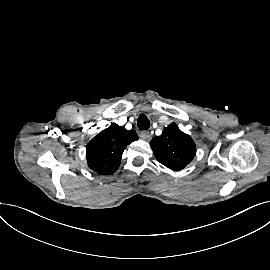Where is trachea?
<instances>
[{
  "instance_id": "trachea-1",
  "label": "trachea",
  "mask_w": 270,
  "mask_h": 270,
  "mask_svg": "<svg viewBox=\"0 0 270 270\" xmlns=\"http://www.w3.org/2000/svg\"><path fill=\"white\" fill-rule=\"evenodd\" d=\"M137 126L140 130H147L150 127V121L145 115H140L137 120Z\"/></svg>"
}]
</instances>
